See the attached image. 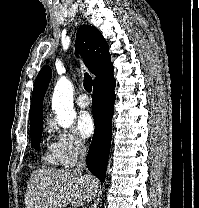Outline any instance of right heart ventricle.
Returning a JSON list of instances; mask_svg holds the SVG:
<instances>
[{"label": "right heart ventricle", "instance_id": "right-heart-ventricle-1", "mask_svg": "<svg viewBox=\"0 0 199 208\" xmlns=\"http://www.w3.org/2000/svg\"><path fill=\"white\" fill-rule=\"evenodd\" d=\"M43 161L50 166H58L60 165V161L59 158L57 157L54 149H53V145H51V147L43 154L42 156Z\"/></svg>", "mask_w": 199, "mask_h": 208}]
</instances>
